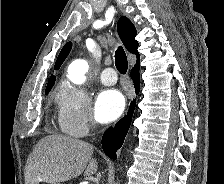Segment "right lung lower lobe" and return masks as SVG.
I'll return each mask as SVG.
<instances>
[{
    "label": "right lung lower lobe",
    "instance_id": "1",
    "mask_svg": "<svg viewBox=\"0 0 224 184\" xmlns=\"http://www.w3.org/2000/svg\"><path fill=\"white\" fill-rule=\"evenodd\" d=\"M131 78L134 83L135 91L138 94L140 90L139 65H136L131 69ZM135 104L136 101L134 100L131 103L127 115H125L113 128H109L107 131H105L102 137L103 150L112 159L117 158L116 152L119 148H121L127 135L131 124Z\"/></svg>",
    "mask_w": 224,
    "mask_h": 184
}]
</instances>
